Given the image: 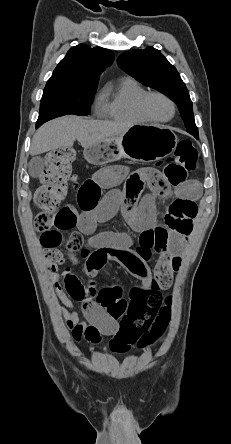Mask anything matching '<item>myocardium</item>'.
<instances>
[{
    "instance_id": "myocardium-1",
    "label": "myocardium",
    "mask_w": 231,
    "mask_h": 444,
    "mask_svg": "<svg viewBox=\"0 0 231 444\" xmlns=\"http://www.w3.org/2000/svg\"><path fill=\"white\" fill-rule=\"evenodd\" d=\"M154 96H158V97H162L164 99H166L171 107H172V114L169 118L167 119H159L154 117L148 110V101L151 97ZM138 111L141 114L142 117H144L146 120L151 121V122H156V123H167L169 121H171L176 114V104L174 102V100L168 96L167 94L160 92V91H148L146 92L139 100L138 102Z\"/></svg>"
}]
</instances>
